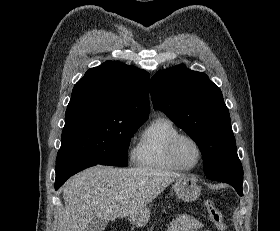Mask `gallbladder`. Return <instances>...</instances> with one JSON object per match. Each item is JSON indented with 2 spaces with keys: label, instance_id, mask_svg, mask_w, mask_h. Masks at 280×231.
<instances>
[{
  "label": "gallbladder",
  "instance_id": "bac80fb5",
  "mask_svg": "<svg viewBox=\"0 0 280 231\" xmlns=\"http://www.w3.org/2000/svg\"><path fill=\"white\" fill-rule=\"evenodd\" d=\"M107 223L108 221L104 217H92L86 227V231H102L107 227Z\"/></svg>",
  "mask_w": 280,
  "mask_h": 231
}]
</instances>
